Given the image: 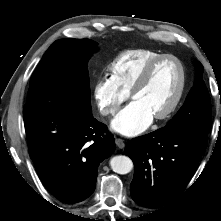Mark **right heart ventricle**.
<instances>
[{
	"label": "right heart ventricle",
	"instance_id": "1",
	"mask_svg": "<svg viewBox=\"0 0 221 221\" xmlns=\"http://www.w3.org/2000/svg\"><path fill=\"white\" fill-rule=\"evenodd\" d=\"M163 55L150 49H130L121 52L109 64L110 79L129 94L134 83L153 59Z\"/></svg>",
	"mask_w": 221,
	"mask_h": 221
}]
</instances>
